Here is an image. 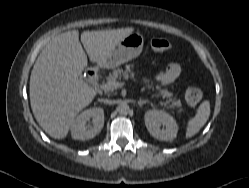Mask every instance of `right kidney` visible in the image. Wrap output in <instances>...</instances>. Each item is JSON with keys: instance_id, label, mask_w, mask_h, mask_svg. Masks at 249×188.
<instances>
[{"instance_id": "1", "label": "right kidney", "mask_w": 249, "mask_h": 188, "mask_svg": "<svg viewBox=\"0 0 249 188\" xmlns=\"http://www.w3.org/2000/svg\"><path fill=\"white\" fill-rule=\"evenodd\" d=\"M92 118L93 126L87 125ZM104 126V110L90 108L79 114L71 125V136L75 140H89L94 138Z\"/></svg>"}]
</instances>
